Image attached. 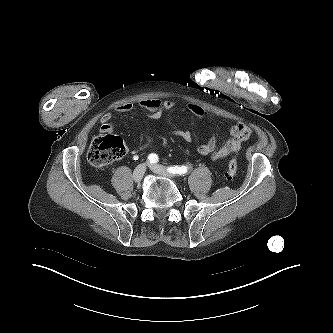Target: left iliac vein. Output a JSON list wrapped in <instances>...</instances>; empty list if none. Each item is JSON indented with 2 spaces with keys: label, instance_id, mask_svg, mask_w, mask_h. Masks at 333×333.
Segmentation results:
<instances>
[{
  "label": "left iliac vein",
  "instance_id": "obj_1",
  "mask_svg": "<svg viewBox=\"0 0 333 333\" xmlns=\"http://www.w3.org/2000/svg\"><path fill=\"white\" fill-rule=\"evenodd\" d=\"M149 167L154 173H156L158 175H161V176H164V177H167L170 179L175 178V176L173 174H171L170 172H168V169L162 165L150 164Z\"/></svg>",
  "mask_w": 333,
  "mask_h": 333
}]
</instances>
